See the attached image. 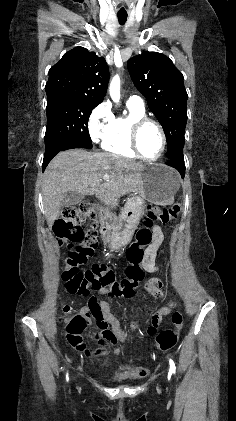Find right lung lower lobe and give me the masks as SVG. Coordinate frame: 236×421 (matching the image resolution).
<instances>
[{
  "instance_id": "obj_1",
  "label": "right lung lower lobe",
  "mask_w": 236,
  "mask_h": 421,
  "mask_svg": "<svg viewBox=\"0 0 236 421\" xmlns=\"http://www.w3.org/2000/svg\"><path fill=\"white\" fill-rule=\"evenodd\" d=\"M73 148H84L78 143L72 142V141H61L56 144H54L52 147L45 149V156L43 160V171L45 170L48 163L51 161V159L60 151L73 149Z\"/></svg>"
}]
</instances>
